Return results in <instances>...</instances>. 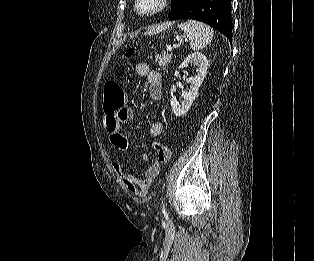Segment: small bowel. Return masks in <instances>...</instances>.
<instances>
[{
  "label": "small bowel",
  "mask_w": 314,
  "mask_h": 261,
  "mask_svg": "<svg viewBox=\"0 0 314 261\" xmlns=\"http://www.w3.org/2000/svg\"><path fill=\"white\" fill-rule=\"evenodd\" d=\"M136 73L146 78L150 98L154 101L161 100L163 97V90L160 74L151 70L150 66L144 62H140L136 65ZM105 113L104 126L109 133L110 143L117 150H128L130 148V143L127 137L122 133L121 126L132 120V110L127 105H123L118 109H112L111 112L105 111ZM162 132V122L154 121L149 130L151 138H159ZM148 159V155L143 156L144 161H148ZM112 169L129 192L140 197H145L149 191L151 182L158 177L161 167L158 162L152 163L146 169L144 178H138L127 173L119 163H113Z\"/></svg>",
  "instance_id": "c3829d8e"
}]
</instances>
